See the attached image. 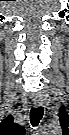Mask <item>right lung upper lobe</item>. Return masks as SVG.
<instances>
[{
  "mask_svg": "<svg viewBox=\"0 0 69 135\" xmlns=\"http://www.w3.org/2000/svg\"><path fill=\"white\" fill-rule=\"evenodd\" d=\"M1 125H2V127L11 129L12 131H14L18 134H24V132H25V130L22 126H19L18 124H15L13 122V117L10 115L2 121Z\"/></svg>",
  "mask_w": 69,
  "mask_h": 135,
  "instance_id": "cb5924a9",
  "label": "right lung upper lobe"
}]
</instances>
